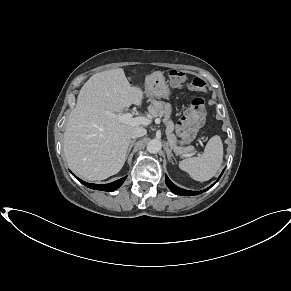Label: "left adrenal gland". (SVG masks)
Here are the masks:
<instances>
[{
    "label": "left adrenal gland",
    "instance_id": "1",
    "mask_svg": "<svg viewBox=\"0 0 291 291\" xmlns=\"http://www.w3.org/2000/svg\"><path fill=\"white\" fill-rule=\"evenodd\" d=\"M165 150H166V153H167L168 160L173 163L172 158H171V157H173L172 148H170L168 143H166V145H165Z\"/></svg>",
    "mask_w": 291,
    "mask_h": 291
}]
</instances>
